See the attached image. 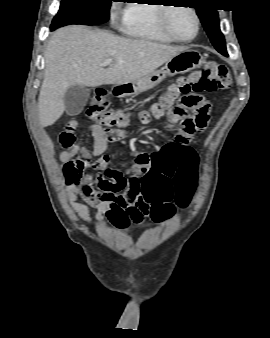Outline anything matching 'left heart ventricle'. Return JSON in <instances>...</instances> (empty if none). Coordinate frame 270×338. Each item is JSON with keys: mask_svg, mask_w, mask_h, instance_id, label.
Instances as JSON below:
<instances>
[{"mask_svg": "<svg viewBox=\"0 0 270 338\" xmlns=\"http://www.w3.org/2000/svg\"><path fill=\"white\" fill-rule=\"evenodd\" d=\"M170 25L174 34L179 38L187 39L194 35L195 18L186 9H175L170 15Z\"/></svg>", "mask_w": 270, "mask_h": 338, "instance_id": "b2bd125f", "label": "left heart ventricle"}]
</instances>
